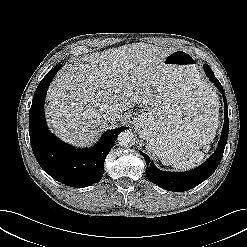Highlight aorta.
I'll return each mask as SVG.
<instances>
[{"instance_id":"obj_1","label":"aorta","mask_w":247,"mask_h":247,"mask_svg":"<svg viewBox=\"0 0 247 247\" xmlns=\"http://www.w3.org/2000/svg\"><path fill=\"white\" fill-rule=\"evenodd\" d=\"M117 140L119 145L123 147H131L135 144V135L131 131L125 130L118 135Z\"/></svg>"}]
</instances>
